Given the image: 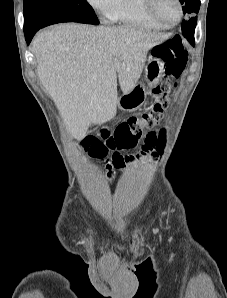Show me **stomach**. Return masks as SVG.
<instances>
[{"instance_id":"0dacf381","label":"stomach","mask_w":227,"mask_h":298,"mask_svg":"<svg viewBox=\"0 0 227 298\" xmlns=\"http://www.w3.org/2000/svg\"><path fill=\"white\" fill-rule=\"evenodd\" d=\"M163 69L161 60L151 55L144 70V79L149 87H153L159 82ZM148 93V88L143 83H137L131 91L119 97L117 106L124 112H133L144 104Z\"/></svg>"}]
</instances>
